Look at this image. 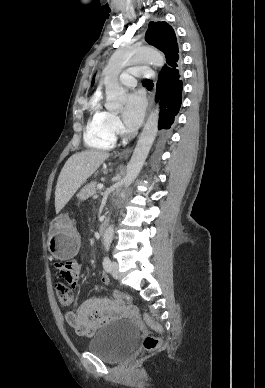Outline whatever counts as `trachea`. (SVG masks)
Listing matches in <instances>:
<instances>
[{
    "label": "trachea",
    "mask_w": 265,
    "mask_h": 388,
    "mask_svg": "<svg viewBox=\"0 0 265 388\" xmlns=\"http://www.w3.org/2000/svg\"><path fill=\"white\" fill-rule=\"evenodd\" d=\"M145 84H152L150 80H145Z\"/></svg>",
    "instance_id": "3493384b"
}]
</instances>
